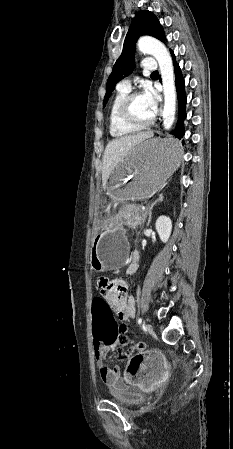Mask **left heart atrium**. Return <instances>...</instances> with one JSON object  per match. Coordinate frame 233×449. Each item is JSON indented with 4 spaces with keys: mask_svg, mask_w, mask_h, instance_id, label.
<instances>
[{
    "mask_svg": "<svg viewBox=\"0 0 233 449\" xmlns=\"http://www.w3.org/2000/svg\"><path fill=\"white\" fill-rule=\"evenodd\" d=\"M143 97L146 100L149 109L153 113V115L157 112L159 97L157 92L153 88H146L143 92Z\"/></svg>",
    "mask_w": 233,
    "mask_h": 449,
    "instance_id": "obj_1",
    "label": "left heart atrium"
}]
</instances>
